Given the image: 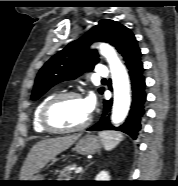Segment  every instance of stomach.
Wrapping results in <instances>:
<instances>
[{
    "label": "stomach",
    "mask_w": 178,
    "mask_h": 186,
    "mask_svg": "<svg viewBox=\"0 0 178 186\" xmlns=\"http://www.w3.org/2000/svg\"><path fill=\"white\" fill-rule=\"evenodd\" d=\"M102 145L103 142L100 137L87 134L77 141L74 150L81 155H90L99 151ZM26 181H29L26 182L27 183L26 185L41 186V185H45L44 184L45 182H41V181H46V180H44L43 175L36 173L29 180Z\"/></svg>",
    "instance_id": "0dacf381"
}]
</instances>
